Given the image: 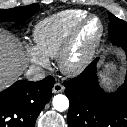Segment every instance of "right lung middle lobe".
Segmentation results:
<instances>
[{
  "instance_id": "right-lung-middle-lobe-1",
  "label": "right lung middle lobe",
  "mask_w": 127,
  "mask_h": 127,
  "mask_svg": "<svg viewBox=\"0 0 127 127\" xmlns=\"http://www.w3.org/2000/svg\"><path fill=\"white\" fill-rule=\"evenodd\" d=\"M39 9L37 3L16 7L11 9L0 10V22H23L33 16Z\"/></svg>"
}]
</instances>
